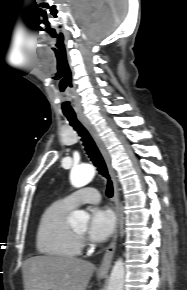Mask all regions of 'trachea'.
<instances>
[{
  "label": "trachea",
  "mask_w": 187,
  "mask_h": 290,
  "mask_svg": "<svg viewBox=\"0 0 187 290\" xmlns=\"http://www.w3.org/2000/svg\"><path fill=\"white\" fill-rule=\"evenodd\" d=\"M65 116L68 119L70 125L78 132L79 136H81V140L85 147V151L88 154L91 161L93 162V164L97 167L98 172L107 179L106 195L108 197H112L113 184L112 181L110 180L105 161L100 151L98 150L94 140L92 139L88 131L77 120L76 115L74 113H65Z\"/></svg>",
  "instance_id": "obj_1"
}]
</instances>
